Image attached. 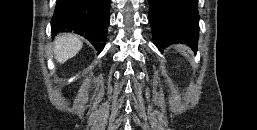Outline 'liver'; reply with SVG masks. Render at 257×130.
I'll return each instance as SVG.
<instances>
[{"label": "liver", "mask_w": 257, "mask_h": 130, "mask_svg": "<svg viewBox=\"0 0 257 130\" xmlns=\"http://www.w3.org/2000/svg\"><path fill=\"white\" fill-rule=\"evenodd\" d=\"M83 43L77 35L64 33L54 40V55L58 63H64L74 57L82 48Z\"/></svg>", "instance_id": "liver-1"}]
</instances>
